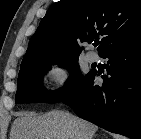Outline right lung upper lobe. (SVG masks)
Returning a JSON list of instances; mask_svg holds the SVG:
<instances>
[{"instance_id":"1","label":"right lung upper lobe","mask_w":141,"mask_h":139,"mask_svg":"<svg viewBox=\"0 0 141 139\" xmlns=\"http://www.w3.org/2000/svg\"><path fill=\"white\" fill-rule=\"evenodd\" d=\"M103 36L108 50L141 38V0H61L53 4L31 38L20 69L78 58L81 43Z\"/></svg>"}]
</instances>
